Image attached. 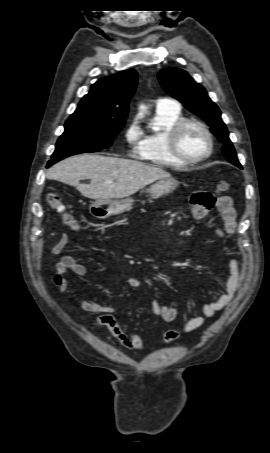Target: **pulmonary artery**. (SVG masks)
I'll use <instances>...</instances> for the list:
<instances>
[{
  "mask_svg": "<svg viewBox=\"0 0 270 453\" xmlns=\"http://www.w3.org/2000/svg\"><path fill=\"white\" fill-rule=\"evenodd\" d=\"M174 107H178V104L175 101L168 99V98H160L156 102L157 109H166V108H174Z\"/></svg>",
  "mask_w": 270,
  "mask_h": 453,
  "instance_id": "obj_1",
  "label": "pulmonary artery"
}]
</instances>
